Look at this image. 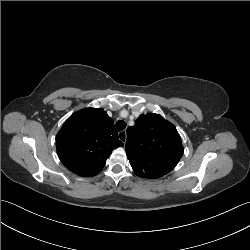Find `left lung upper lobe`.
Returning a JSON list of instances; mask_svg holds the SVG:
<instances>
[{"label":"left lung upper lobe","mask_w":250,"mask_h":250,"mask_svg":"<svg viewBox=\"0 0 250 250\" xmlns=\"http://www.w3.org/2000/svg\"><path fill=\"white\" fill-rule=\"evenodd\" d=\"M125 150L139 177H144L148 161L153 162L149 169L159 172L161 176L169 173L184 151L175 126L155 113L140 115L135 125L127 129Z\"/></svg>","instance_id":"left-lung-upper-lobe-1"}]
</instances>
